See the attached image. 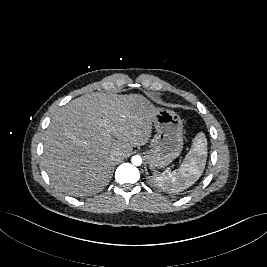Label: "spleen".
<instances>
[{"instance_id":"3e777b00","label":"spleen","mask_w":267,"mask_h":267,"mask_svg":"<svg viewBox=\"0 0 267 267\" xmlns=\"http://www.w3.org/2000/svg\"><path fill=\"white\" fill-rule=\"evenodd\" d=\"M207 159V139L200 132L181 166L173 171L154 175V181L164 190L179 192L189 188L202 175Z\"/></svg>"}]
</instances>
